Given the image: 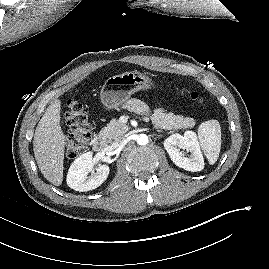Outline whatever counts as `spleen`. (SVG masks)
<instances>
[{
  "label": "spleen",
  "instance_id": "obj_1",
  "mask_svg": "<svg viewBox=\"0 0 269 269\" xmlns=\"http://www.w3.org/2000/svg\"><path fill=\"white\" fill-rule=\"evenodd\" d=\"M199 144L209 161L213 165L219 158L221 148V127L217 120H208L198 128Z\"/></svg>",
  "mask_w": 269,
  "mask_h": 269
}]
</instances>
